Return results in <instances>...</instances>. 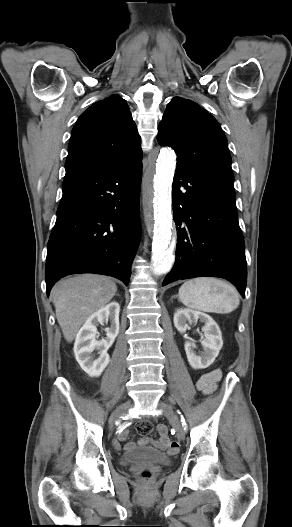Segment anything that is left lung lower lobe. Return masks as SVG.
<instances>
[{
	"label": "left lung lower lobe",
	"instance_id": "left-lung-lower-lobe-1",
	"mask_svg": "<svg viewBox=\"0 0 292 527\" xmlns=\"http://www.w3.org/2000/svg\"><path fill=\"white\" fill-rule=\"evenodd\" d=\"M233 184L228 178L176 168V261L163 286L178 279L221 277L245 297L247 267Z\"/></svg>",
	"mask_w": 292,
	"mask_h": 527
}]
</instances>
